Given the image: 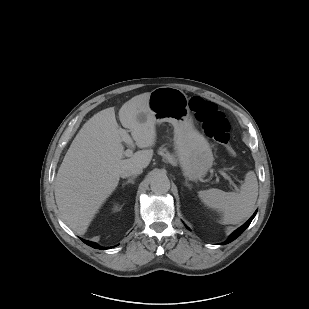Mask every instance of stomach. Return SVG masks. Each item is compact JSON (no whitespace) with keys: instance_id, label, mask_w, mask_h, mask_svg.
Wrapping results in <instances>:
<instances>
[{"instance_id":"1","label":"stomach","mask_w":309,"mask_h":309,"mask_svg":"<svg viewBox=\"0 0 309 309\" xmlns=\"http://www.w3.org/2000/svg\"><path fill=\"white\" fill-rule=\"evenodd\" d=\"M187 95L174 87H158L150 93L148 106L155 122L174 127L175 153L180 167L191 180L205 176L213 164L211 148L194 127Z\"/></svg>"}]
</instances>
